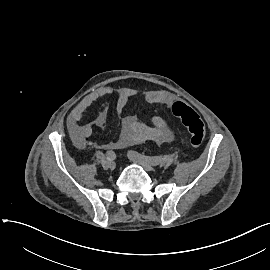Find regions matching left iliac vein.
<instances>
[{"label": "left iliac vein", "mask_w": 270, "mask_h": 270, "mask_svg": "<svg viewBox=\"0 0 270 270\" xmlns=\"http://www.w3.org/2000/svg\"><path fill=\"white\" fill-rule=\"evenodd\" d=\"M128 157H129V159H130L131 161H133L134 163L143 166L147 171L153 170V165H152L150 162H148V161H146V160H144V159L136 158V157H134V156H133L132 154H130V153H128Z\"/></svg>", "instance_id": "obj_1"}]
</instances>
